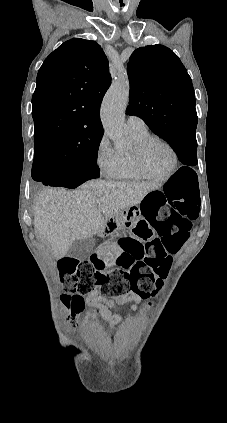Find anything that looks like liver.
I'll return each mask as SVG.
<instances>
[{
    "label": "liver",
    "instance_id": "6515ba94",
    "mask_svg": "<svg viewBox=\"0 0 227 423\" xmlns=\"http://www.w3.org/2000/svg\"><path fill=\"white\" fill-rule=\"evenodd\" d=\"M160 186L158 182L125 184L92 180L72 192L44 188L36 198L35 233L47 239L55 257L60 259L67 255L73 241L104 231L108 219L117 217L125 208L141 204L146 194Z\"/></svg>",
    "mask_w": 227,
    "mask_h": 423
}]
</instances>
